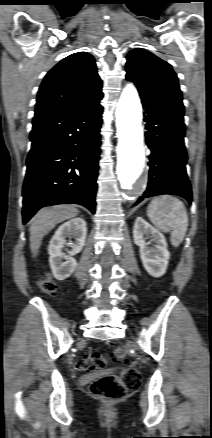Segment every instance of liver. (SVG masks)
I'll return each instance as SVG.
<instances>
[{"mask_svg": "<svg viewBox=\"0 0 212 438\" xmlns=\"http://www.w3.org/2000/svg\"><path fill=\"white\" fill-rule=\"evenodd\" d=\"M79 211L74 206L59 205L40 210L30 226V250L35 257L43 237L58 223L77 216Z\"/></svg>", "mask_w": 212, "mask_h": 438, "instance_id": "liver-1", "label": "liver"}]
</instances>
